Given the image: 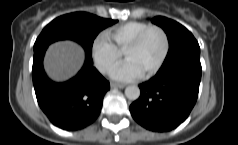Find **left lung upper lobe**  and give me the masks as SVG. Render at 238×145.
<instances>
[{"label":"left lung upper lobe","mask_w":238,"mask_h":145,"mask_svg":"<svg viewBox=\"0 0 238 145\" xmlns=\"http://www.w3.org/2000/svg\"><path fill=\"white\" fill-rule=\"evenodd\" d=\"M152 22L163 28L169 41V51L161 68L171 66L189 56H200L198 42L184 26L162 16L154 17Z\"/></svg>","instance_id":"obj_1"}]
</instances>
